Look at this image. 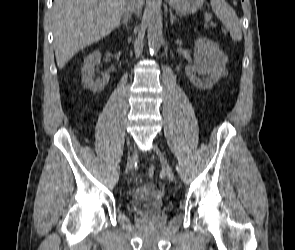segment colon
I'll list each match as a JSON object with an SVG mask.
<instances>
[{
  "instance_id": "1",
  "label": "colon",
  "mask_w": 295,
  "mask_h": 250,
  "mask_svg": "<svg viewBox=\"0 0 295 250\" xmlns=\"http://www.w3.org/2000/svg\"><path fill=\"white\" fill-rule=\"evenodd\" d=\"M148 175L150 177H153L155 175V167L154 166H150L148 169Z\"/></svg>"
}]
</instances>
